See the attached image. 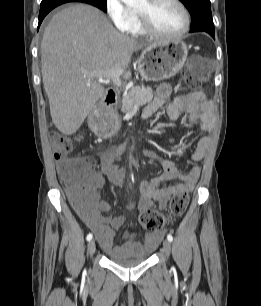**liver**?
<instances>
[{
    "mask_svg": "<svg viewBox=\"0 0 261 306\" xmlns=\"http://www.w3.org/2000/svg\"><path fill=\"white\" fill-rule=\"evenodd\" d=\"M150 45L118 32L102 11L90 5L76 4L56 13L44 30L41 63L57 129L74 134L105 94L94 72L121 68L128 80L132 54Z\"/></svg>",
    "mask_w": 261,
    "mask_h": 306,
    "instance_id": "obj_1",
    "label": "liver"
}]
</instances>
